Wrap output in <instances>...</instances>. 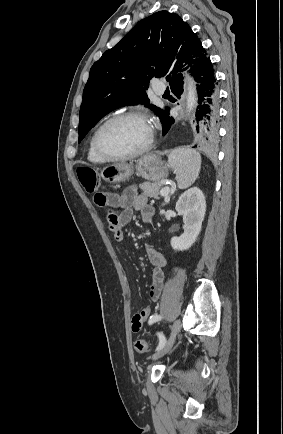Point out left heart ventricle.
Listing matches in <instances>:
<instances>
[{
  "instance_id": "left-heart-ventricle-1",
  "label": "left heart ventricle",
  "mask_w": 283,
  "mask_h": 434,
  "mask_svg": "<svg viewBox=\"0 0 283 434\" xmlns=\"http://www.w3.org/2000/svg\"><path fill=\"white\" fill-rule=\"evenodd\" d=\"M149 135L147 122L128 118L110 124L101 134V143L112 154H128L141 149L147 143Z\"/></svg>"
}]
</instances>
